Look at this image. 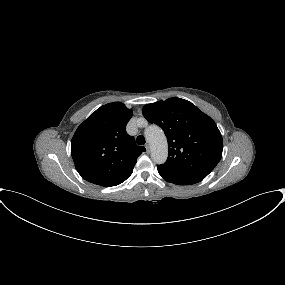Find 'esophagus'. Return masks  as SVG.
I'll return each mask as SVG.
<instances>
[{
    "label": "esophagus",
    "instance_id": "esophagus-1",
    "mask_svg": "<svg viewBox=\"0 0 285 285\" xmlns=\"http://www.w3.org/2000/svg\"><path fill=\"white\" fill-rule=\"evenodd\" d=\"M145 148H146L147 153H149V151H150V147H149V145H148V144H146Z\"/></svg>",
    "mask_w": 285,
    "mask_h": 285
}]
</instances>
